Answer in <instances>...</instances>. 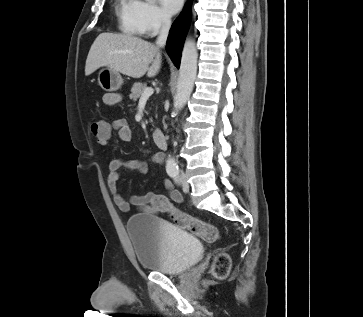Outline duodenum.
I'll use <instances>...</instances> for the list:
<instances>
[{
	"mask_svg": "<svg viewBox=\"0 0 363 317\" xmlns=\"http://www.w3.org/2000/svg\"><path fill=\"white\" fill-rule=\"evenodd\" d=\"M152 139L156 146L161 149H165L167 147V142L164 136V133L161 130H154L152 133Z\"/></svg>",
	"mask_w": 363,
	"mask_h": 317,
	"instance_id": "410a0bca",
	"label": "duodenum"
}]
</instances>
